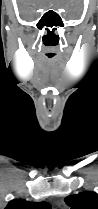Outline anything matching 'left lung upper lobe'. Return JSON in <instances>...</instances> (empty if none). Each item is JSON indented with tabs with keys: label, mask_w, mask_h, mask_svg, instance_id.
Wrapping results in <instances>:
<instances>
[{
	"label": "left lung upper lobe",
	"mask_w": 98,
	"mask_h": 209,
	"mask_svg": "<svg viewBox=\"0 0 98 209\" xmlns=\"http://www.w3.org/2000/svg\"><path fill=\"white\" fill-rule=\"evenodd\" d=\"M70 209H98V194L85 191L65 198Z\"/></svg>",
	"instance_id": "obj_1"
}]
</instances>
